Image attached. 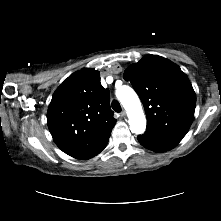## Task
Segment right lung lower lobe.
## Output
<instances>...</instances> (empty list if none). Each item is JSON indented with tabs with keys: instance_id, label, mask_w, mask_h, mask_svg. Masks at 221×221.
I'll return each mask as SVG.
<instances>
[{
	"instance_id": "obj_1",
	"label": "right lung lower lobe",
	"mask_w": 221,
	"mask_h": 221,
	"mask_svg": "<svg viewBox=\"0 0 221 221\" xmlns=\"http://www.w3.org/2000/svg\"><path fill=\"white\" fill-rule=\"evenodd\" d=\"M105 147H106V146H105ZM105 147H104V148H105ZM104 148H103V149H104ZM103 149H102V150H103ZM102 150H101V151H102ZM101 151H100V152H101ZM100 152H99V153H100ZM99 153H98V154H99Z\"/></svg>"
}]
</instances>
